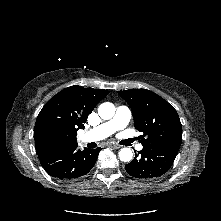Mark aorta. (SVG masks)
I'll return each mask as SVG.
<instances>
[{"instance_id":"1","label":"aorta","mask_w":221,"mask_h":221,"mask_svg":"<svg viewBox=\"0 0 221 221\" xmlns=\"http://www.w3.org/2000/svg\"><path fill=\"white\" fill-rule=\"evenodd\" d=\"M98 114L102 119L109 120L115 114V106L110 102L102 103L98 108ZM132 157L133 153L130 148H122L119 151V158L121 161L128 162Z\"/></svg>"}]
</instances>
